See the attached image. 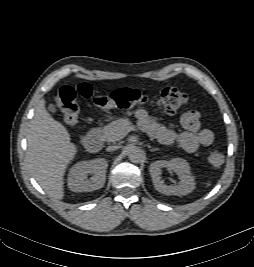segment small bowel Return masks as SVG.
Segmentation results:
<instances>
[{
    "mask_svg": "<svg viewBox=\"0 0 254 267\" xmlns=\"http://www.w3.org/2000/svg\"><path fill=\"white\" fill-rule=\"evenodd\" d=\"M136 116L151 137L163 144L177 142L188 153L196 152L200 146H209L214 140L211 130L201 128L200 114L197 111H187L181 115L180 122L184 128L181 133L151 120L144 109L138 110Z\"/></svg>",
    "mask_w": 254,
    "mask_h": 267,
    "instance_id": "small-bowel-1",
    "label": "small bowel"
}]
</instances>
